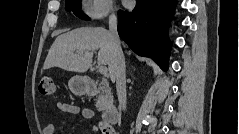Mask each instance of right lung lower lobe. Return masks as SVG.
<instances>
[{
	"instance_id": "98d812e1",
	"label": "right lung lower lobe",
	"mask_w": 239,
	"mask_h": 134,
	"mask_svg": "<svg viewBox=\"0 0 239 134\" xmlns=\"http://www.w3.org/2000/svg\"><path fill=\"white\" fill-rule=\"evenodd\" d=\"M176 0H136L132 12L119 11L118 33L138 55L150 57L166 71L171 43L168 27Z\"/></svg>"
}]
</instances>
